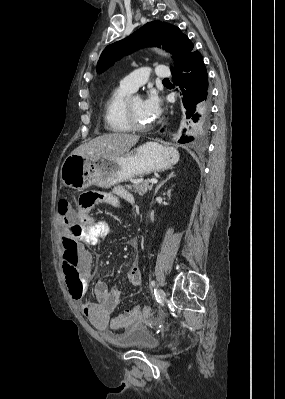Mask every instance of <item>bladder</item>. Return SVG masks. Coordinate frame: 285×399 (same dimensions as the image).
I'll use <instances>...</instances> for the list:
<instances>
[{
    "mask_svg": "<svg viewBox=\"0 0 285 399\" xmlns=\"http://www.w3.org/2000/svg\"><path fill=\"white\" fill-rule=\"evenodd\" d=\"M123 348H132L142 351H153L158 347V340L146 329L133 326L128 328L119 339Z\"/></svg>",
    "mask_w": 285,
    "mask_h": 399,
    "instance_id": "1",
    "label": "bladder"
}]
</instances>
